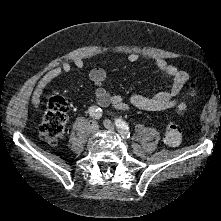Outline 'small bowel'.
Returning a JSON list of instances; mask_svg holds the SVG:
<instances>
[{"instance_id":"small-bowel-1","label":"small bowel","mask_w":221,"mask_h":221,"mask_svg":"<svg viewBox=\"0 0 221 221\" xmlns=\"http://www.w3.org/2000/svg\"><path fill=\"white\" fill-rule=\"evenodd\" d=\"M138 59L139 55L136 53L128 55L129 62H136ZM73 64L79 69L85 67V62L81 58H76ZM73 64L71 62H64L62 65L49 70L42 76L34 90L33 100L35 104H39L43 91L53 80L62 73H69L72 71ZM155 65L160 73L171 82L170 88L152 96L133 94L129 98V103L137 109L147 111L176 108L179 105L178 94L187 83L189 75L187 72L178 69L176 66L167 63L161 58L155 59ZM89 78L95 87V98L100 107L105 108L111 105L120 111H127L129 109V106L125 103L121 95H110L104 88V81L106 79V72L104 69L99 67L93 68L89 73Z\"/></svg>"}]
</instances>
